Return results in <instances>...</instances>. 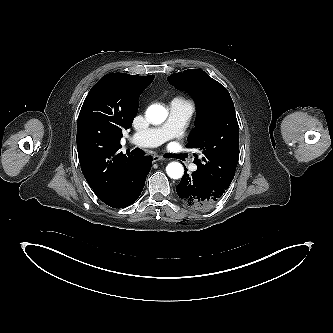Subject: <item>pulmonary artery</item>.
Returning a JSON list of instances; mask_svg holds the SVG:
<instances>
[{
    "label": "pulmonary artery",
    "instance_id": "obj_1",
    "mask_svg": "<svg viewBox=\"0 0 333 333\" xmlns=\"http://www.w3.org/2000/svg\"><path fill=\"white\" fill-rule=\"evenodd\" d=\"M194 107L189 101L175 98L169 107V116L164 124L135 133L131 141L141 147H156L179 134L187 125ZM196 165H191L190 170L195 171Z\"/></svg>",
    "mask_w": 333,
    "mask_h": 333
}]
</instances>
